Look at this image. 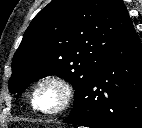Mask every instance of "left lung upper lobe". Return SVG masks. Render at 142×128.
I'll use <instances>...</instances> for the list:
<instances>
[{
    "instance_id": "5c2ea615",
    "label": "left lung upper lobe",
    "mask_w": 142,
    "mask_h": 128,
    "mask_svg": "<svg viewBox=\"0 0 142 128\" xmlns=\"http://www.w3.org/2000/svg\"><path fill=\"white\" fill-rule=\"evenodd\" d=\"M135 34L122 0H52L14 54L9 91L21 94L35 80L58 75L75 89L74 109L107 54Z\"/></svg>"
}]
</instances>
